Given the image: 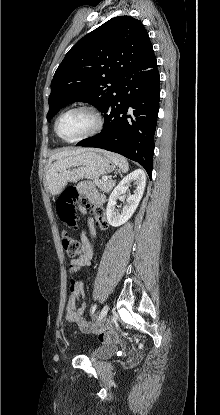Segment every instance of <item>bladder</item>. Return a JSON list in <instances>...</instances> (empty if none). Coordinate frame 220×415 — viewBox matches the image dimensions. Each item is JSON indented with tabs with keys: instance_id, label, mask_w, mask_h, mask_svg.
Here are the masks:
<instances>
[{
	"instance_id": "31cf9c89",
	"label": "bladder",
	"mask_w": 220,
	"mask_h": 415,
	"mask_svg": "<svg viewBox=\"0 0 220 415\" xmlns=\"http://www.w3.org/2000/svg\"><path fill=\"white\" fill-rule=\"evenodd\" d=\"M117 350V346L116 345H109V346H105L102 348H99L96 351V356L98 357H107L110 356L112 354H114Z\"/></svg>"
}]
</instances>
